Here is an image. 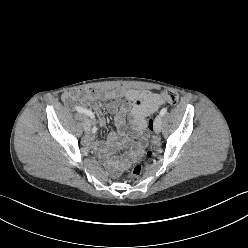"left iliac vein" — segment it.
<instances>
[{
	"instance_id": "4c4485c4",
	"label": "left iliac vein",
	"mask_w": 248,
	"mask_h": 248,
	"mask_svg": "<svg viewBox=\"0 0 248 248\" xmlns=\"http://www.w3.org/2000/svg\"><path fill=\"white\" fill-rule=\"evenodd\" d=\"M161 125H162V116L158 115L154 121V130L156 133H159L161 131Z\"/></svg>"
}]
</instances>
